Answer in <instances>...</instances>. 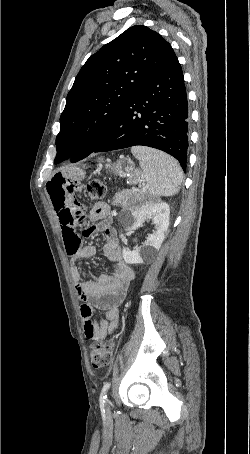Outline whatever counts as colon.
Returning <instances> with one entry per match:
<instances>
[{"label":"colon","mask_w":250,"mask_h":454,"mask_svg":"<svg viewBox=\"0 0 250 454\" xmlns=\"http://www.w3.org/2000/svg\"><path fill=\"white\" fill-rule=\"evenodd\" d=\"M86 192L91 200L102 199L106 194L105 184L98 179H93L86 185ZM113 357V340L108 342H94L90 346V359L92 366L102 369L110 366Z\"/></svg>","instance_id":"obj_1"}]
</instances>
